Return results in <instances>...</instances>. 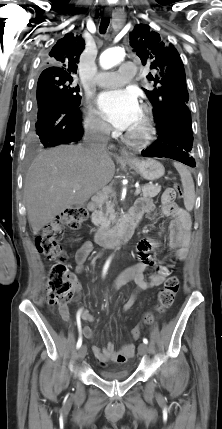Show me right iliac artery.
I'll return each mask as SVG.
<instances>
[{
    "label": "right iliac artery",
    "mask_w": 222,
    "mask_h": 429,
    "mask_svg": "<svg viewBox=\"0 0 222 429\" xmlns=\"http://www.w3.org/2000/svg\"><path fill=\"white\" fill-rule=\"evenodd\" d=\"M110 261H111V258H109V259L106 261L105 265H104V268H103V276L106 274V272H107V270H108V267H109ZM80 313H81V310H79V311L77 312V325H78V330H79V338H78V342H77V345H76V347H77V348H80V347H81V345H82Z\"/></svg>",
    "instance_id": "1"
}]
</instances>
